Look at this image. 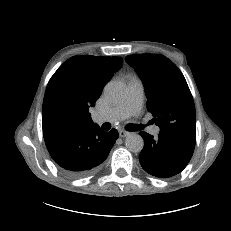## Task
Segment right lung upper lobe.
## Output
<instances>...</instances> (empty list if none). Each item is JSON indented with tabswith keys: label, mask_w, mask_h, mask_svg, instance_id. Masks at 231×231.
I'll return each instance as SVG.
<instances>
[{
	"label": "right lung upper lobe",
	"mask_w": 231,
	"mask_h": 231,
	"mask_svg": "<svg viewBox=\"0 0 231 231\" xmlns=\"http://www.w3.org/2000/svg\"><path fill=\"white\" fill-rule=\"evenodd\" d=\"M122 62L121 57L73 56L53 74L45 94L60 88L76 109L68 131L95 125L89 107L95 106L104 86L121 68Z\"/></svg>",
	"instance_id": "cb5924a9"
}]
</instances>
